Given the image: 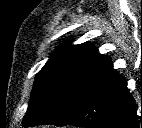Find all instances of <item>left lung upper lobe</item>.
Listing matches in <instances>:
<instances>
[{"instance_id":"5c2ea615","label":"left lung upper lobe","mask_w":142,"mask_h":128,"mask_svg":"<svg viewBox=\"0 0 142 128\" xmlns=\"http://www.w3.org/2000/svg\"><path fill=\"white\" fill-rule=\"evenodd\" d=\"M68 42L37 74L24 127L48 125L65 118L81 92L111 64L92 44L69 46Z\"/></svg>"}]
</instances>
